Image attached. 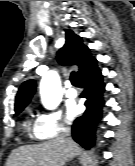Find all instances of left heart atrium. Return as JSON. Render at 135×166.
Masks as SVG:
<instances>
[{
    "label": "left heart atrium",
    "instance_id": "left-heart-atrium-1",
    "mask_svg": "<svg viewBox=\"0 0 135 166\" xmlns=\"http://www.w3.org/2000/svg\"><path fill=\"white\" fill-rule=\"evenodd\" d=\"M76 114H77V109L74 106H71L68 109V116H69V118L74 117Z\"/></svg>",
    "mask_w": 135,
    "mask_h": 166
}]
</instances>
